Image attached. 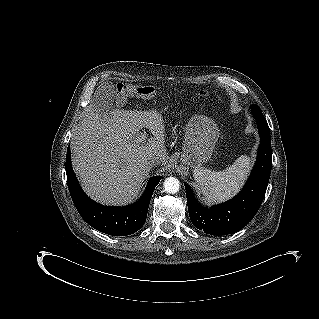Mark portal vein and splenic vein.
<instances>
[{
	"label": "portal vein and splenic vein",
	"instance_id": "obj_1",
	"mask_svg": "<svg viewBox=\"0 0 319 319\" xmlns=\"http://www.w3.org/2000/svg\"><path fill=\"white\" fill-rule=\"evenodd\" d=\"M145 139H146V134H142V135L138 136V137L135 139V142H136L137 144H140V143H142Z\"/></svg>",
	"mask_w": 319,
	"mask_h": 319
}]
</instances>
